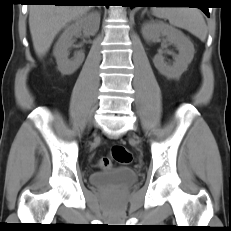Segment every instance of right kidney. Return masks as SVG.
<instances>
[{
  "label": "right kidney",
  "mask_w": 231,
  "mask_h": 231,
  "mask_svg": "<svg viewBox=\"0 0 231 231\" xmlns=\"http://www.w3.org/2000/svg\"><path fill=\"white\" fill-rule=\"evenodd\" d=\"M100 14L98 12H92L77 18L74 23L68 25L64 32L59 37L53 54L56 58L59 71L63 75L73 74L84 60V53L77 52L72 59H68V49L73 44V37L79 34L82 30L88 33H96L99 30Z\"/></svg>",
  "instance_id": "obj_1"
}]
</instances>
